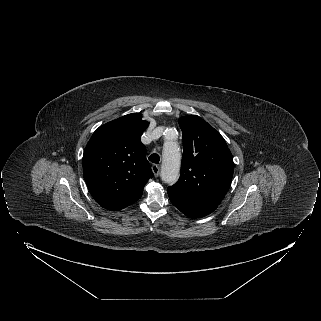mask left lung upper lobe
Here are the masks:
<instances>
[{
	"instance_id": "5c2ea615",
	"label": "left lung upper lobe",
	"mask_w": 321,
	"mask_h": 321,
	"mask_svg": "<svg viewBox=\"0 0 321 321\" xmlns=\"http://www.w3.org/2000/svg\"><path fill=\"white\" fill-rule=\"evenodd\" d=\"M183 158L179 180L168 190L187 199L218 205L234 171L232 154L224 138L196 115L181 117Z\"/></svg>"
}]
</instances>
